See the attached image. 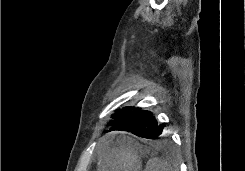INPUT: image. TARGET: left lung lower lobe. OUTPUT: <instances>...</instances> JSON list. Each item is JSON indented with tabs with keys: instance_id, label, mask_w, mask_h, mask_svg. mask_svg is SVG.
<instances>
[{
	"instance_id": "left-lung-lower-lobe-1",
	"label": "left lung lower lobe",
	"mask_w": 245,
	"mask_h": 171,
	"mask_svg": "<svg viewBox=\"0 0 245 171\" xmlns=\"http://www.w3.org/2000/svg\"><path fill=\"white\" fill-rule=\"evenodd\" d=\"M164 126L158 124L150 111L130 108L118 121L112 124L109 131H129L147 139H158Z\"/></svg>"
}]
</instances>
